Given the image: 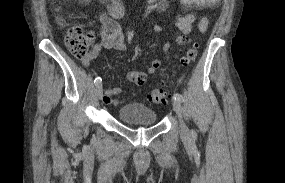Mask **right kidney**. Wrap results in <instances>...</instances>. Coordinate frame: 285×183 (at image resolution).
<instances>
[{
  "instance_id": "obj_1",
  "label": "right kidney",
  "mask_w": 285,
  "mask_h": 183,
  "mask_svg": "<svg viewBox=\"0 0 285 183\" xmlns=\"http://www.w3.org/2000/svg\"><path fill=\"white\" fill-rule=\"evenodd\" d=\"M82 2H88L89 0H81Z\"/></svg>"
}]
</instances>
